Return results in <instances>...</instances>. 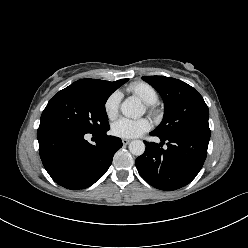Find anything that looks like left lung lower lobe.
Returning <instances> with one entry per match:
<instances>
[{
	"instance_id": "1",
	"label": "left lung lower lobe",
	"mask_w": 248,
	"mask_h": 248,
	"mask_svg": "<svg viewBox=\"0 0 248 248\" xmlns=\"http://www.w3.org/2000/svg\"><path fill=\"white\" fill-rule=\"evenodd\" d=\"M157 136L155 133H150ZM159 137V136H158ZM161 144L145 142V152L136 161L141 177L153 187L172 191L190 183L201 170L207 155L210 129L177 132L159 137Z\"/></svg>"
}]
</instances>
